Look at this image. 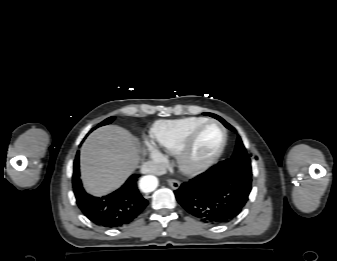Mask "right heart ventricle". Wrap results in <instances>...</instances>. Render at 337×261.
<instances>
[{
    "label": "right heart ventricle",
    "mask_w": 337,
    "mask_h": 261,
    "mask_svg": "<svg viewBox=\"0 0 337 261\" xmlns=\"http://www.w3.org/2000/svg\"><path fill=\"white\" fill-rule=\"evenodd\" d=\"M204 121L206 119L202 117L161 120L153 125L151 137L158 148L169 154H176L188 134Z\"/></svg>",
    "instance_id": "e07e8e85"
}]
</instances>
